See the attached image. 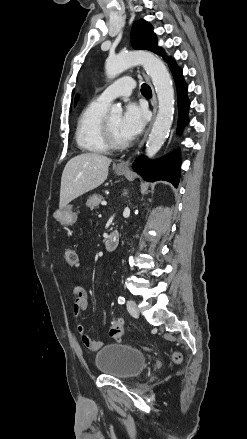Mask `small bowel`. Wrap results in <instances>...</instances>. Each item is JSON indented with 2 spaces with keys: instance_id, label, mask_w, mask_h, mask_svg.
I'll return each instance as SVG.
<instances>
[{
  "instance_id": "1",
  "label": "small bowel",
  "mask_w": 247,
  "mask_h": 439,
  "mask_svg": "<svg viewBox=\"0 0 247 439\" xmlns=\"http://www.w3.org/2000/svg\"><path fill=\"white\" fill-rule=\"evenodd\" d=\"M72 294L75 297L73 312L76 318H79L88 308V294L84 287L76 283L73 285ZM106 315L103 316L102 327L105 324ZM77 331L80 335L82 343L87 349L97 351L104 346V341L94 340L88 332H86L84 325L81 322L77 324Z\"/></svg>"
}]
</instances>
